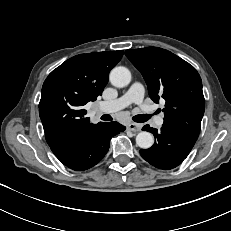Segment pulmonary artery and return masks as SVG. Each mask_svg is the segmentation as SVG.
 Returning <instances> with one entry per match:
<instances>
[{"instance_id":"obj_1","label":"pulmonary artery","mask_w":231,"mask_h":231,"mask_svg":"<svg viewBox=\"0 0 231 231\" xmlns=\"http://www.w3.org/2000/svg\"><path fill=\"white\" fill-rule=\"evenodd\" d=\"M144 99V87L142 84L136 82L119 98L111 101H105L100 104V109L106 112H116L131 104H138L143 110H150V106L143 102ZM157 126L163 124V117L158 116L155 119Z\"/></svg>"}]
</instances>
